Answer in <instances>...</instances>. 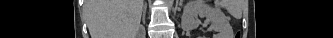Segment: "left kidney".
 I'll use <instances>...</instances> for the list:
<instances>
[{
  "instance_id": "1",
  "label": "left kidney",
  "mask_w": 333,
  "mask_h": 38,
  "mask_svg": "<svg viewBox=\"0 0 333 38\" xmlns=\"http://www.w3.org/2000/svg\"><path fill=\"white\" fill-rule=\"evenodd\" d=\"M210 24L209 28L216 32L213 38H231L233 30L229 18L219 8H213L205 0H190L184 7L182 28L185 31L196 29L201 21Z\"/></svg>"
}]
</instances>
